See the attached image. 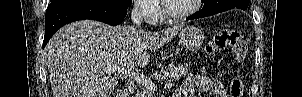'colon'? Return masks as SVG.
<instances>
[{
  "label": "colon",
  "instance_id": "5ec220e1",
  "mask_svg": "<svg viewBox=\"0 0 302 97\" xmlns=\"http://www.w3.org/2000/svg\"><path fill=\"white\" fill-rule=\"evenodd\" d=\"M226 48H231L239 61L245 58L248 45L238 29L223 28L219 30L205 47L209 55H215ZM242 93L243 84L241 79H232L230 83V97H241Z\"/></svg>",
  "mask_w": 302,
  "mask_h": 97
}]
</instances>
